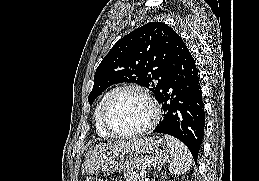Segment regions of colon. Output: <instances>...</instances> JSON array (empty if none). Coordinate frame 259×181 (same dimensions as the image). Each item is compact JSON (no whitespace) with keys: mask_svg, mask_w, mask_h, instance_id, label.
Wrapping results in <instances>:
<instances>
[{"mask_svg":"<svg viewBox=\"0 0 259 181\" xmlns=\"http://www.w3.org/2000/svg\"><path fill=\"white\" fill-rule=\"evenodd\" d=\"M95 181H104V180H102V179H96Z\"/></svg>","mask_w":259,"mask_h":181,"instance_id":"colon-1","label":"colon"}]
</instances>
